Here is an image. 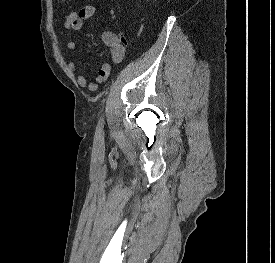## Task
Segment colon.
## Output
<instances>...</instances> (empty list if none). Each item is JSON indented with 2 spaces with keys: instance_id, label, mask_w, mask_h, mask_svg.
I'll list each match as a JSON object with an SVG mask.
<instances>
[{
  "instance_id": "5ec220e1",
  "label": "colon",
  "mask_w": 275,
  "mask_h": 263,
  "mask_svg": "<svg viewBox=\"0 0 275 263\" xmlns=\"http://www.w3.org/2000/svg\"><path fill=\"white\" fill-rule=\"evenodd\" d=\"M60 1L64 2V1H66V0H60Z\"/></svg>"
}]
</instances>
